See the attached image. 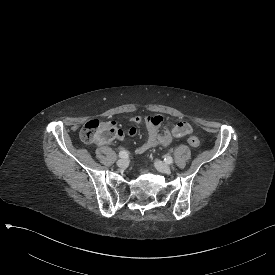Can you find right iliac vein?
<instances>
[{
  "instance_id": "63e3f726",
  "label": "right iliac vein",
  "mask_w": 275,
  "mask_h": 275,
  "mask_svg": "<svg viewBox=\"0 0 275 275\" xmlns=\"http://www.w3.org/2000/svg\"><path fill=\"white\" fill-rule=\"evenodd\" d=\"M129 164V161L127 158H122L117 161V166L120 168H126Z\"/></svg>"
}]
</instances>
